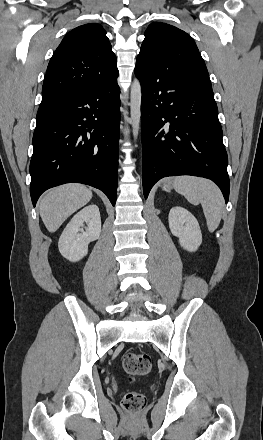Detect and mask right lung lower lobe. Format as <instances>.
<instances>
[{"label": "right lung lower lobe", "instance_id": "right-lung-lower-lobe-1", "mask_svg": "<svg viewBox=\"0 0 263 440\" xmlns=\"http://www.w3.org/2000/svg\"><path fill=\"white\" fill-rule=\"evenodd\" d=\"M117 78L73 92L37 113L30 162L33 206L47 189L83 183L117 197L120 124Z\"/></svg>", "mask_w": 263, "mask_h": 440}]
</instances>
